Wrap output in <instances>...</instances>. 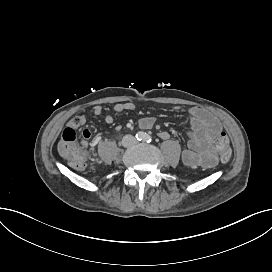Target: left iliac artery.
<instances>
[{
  "label": "left iliac artery",
  "instance_id": "44dca946",
  "mask_svg": "<svg viewBox=\"0 0 272 272\" xmlns=\"http://www.w3.org/2000/svg\"><path fill=\"white\" fill-rule=\"evenodd\" d=\"M144 141L147 142V143H150L152 141V137L150 135H148V134H145Z\"/></svg>",
  "mask_w": 272,
  "mask_h": 272
}]
</instances>
